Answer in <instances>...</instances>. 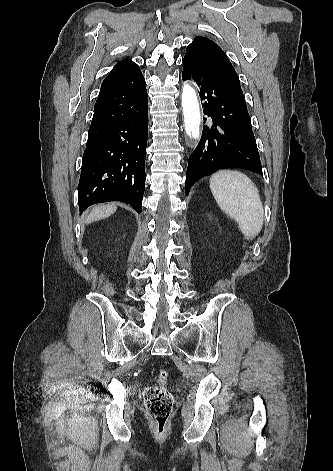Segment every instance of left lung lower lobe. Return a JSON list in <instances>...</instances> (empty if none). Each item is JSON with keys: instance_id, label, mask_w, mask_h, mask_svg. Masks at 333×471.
Returning a JSON list of instances; mask_svg holds the SVG:
<instances>
[{"instance_id": "obj_1", "label": "left lung lower lobe", "mask_w": 333, "mask_h": 471, "mask_svg": "<svg viewBox=\"0 0 333 471\" xmlns=\"http://www.w3.org/2000/svg\"><path fill=\"white\" fill-rule=\"evenodd\" d=\"M182 79L196 83L201 101L205 100L203 112L212 119L189 158L186 194L198 178L220 169L243 168L263 175L246 104L222 77L196 57L185 55Z\"/></svg>"}]
</instances>
